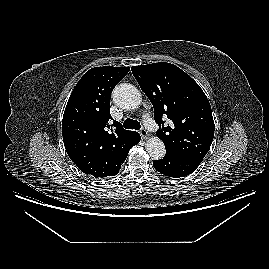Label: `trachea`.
<instances>
[{"label": "trachea", "instance_id": "1", "mask_svg": "<svg viewBox=\"0 0 269 269\" xmlns=\"http://www.w3.org/2000/svg\"><path fill=\"white\" fill-rule=\"evenodd\" d=\"M124 128L126 129H135V130H139L141 128L140 123L137 120H133V119H126L123 123Z\"/></svg>", "mask_w": 269, "mask_h": 269}]
</instances>
